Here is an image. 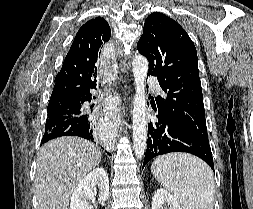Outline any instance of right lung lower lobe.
Returning <instances> with one entry per match:
<instances>
[{
	"instance_id": "obj_1",
	"label": "right lung lower lobe",
	"mask_w": 253,
	"mask_h": 209,
	"mask_svg": "<svg viewBox=\"0 0 253 209\" xmlns=\"http://www.w3.org/2000/svg\"><path fill=\"white\" fill-rule=\"evenodd\" d=\"M91 93L81 97L78 100L60 104L53 102L48 105V109H63L67 108L69 111L76 112L75 116L70 117L61 123L54 126L45 128V134L42 138L41 144L47 141L61 137V136H78L90 141L97 140L99 138L98 131L95 126V122L85 114L82 109V104L86 101H91Z\"/></svg>"
}]
</instances>
